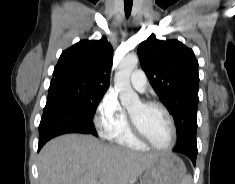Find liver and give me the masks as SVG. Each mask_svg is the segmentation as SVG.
I'll return each instance as SVG.
<instances>
[{
	"instance_id": "6515ba94",
	"label": "liver",
	"mask_w": 235,
	"mask_h": 184,
	"mask_svg": "<svg viewBox=\"0 0 235 184\" xmlns=\"http://www.w3.org/2000/svg\"><path fill=\"white\" fill-rule=\"evenodd\" d=\"M161 154H138L103 144L94 136L65 134L50 140L38 156L40 184H129Z\"/></svg>"
}]
</instances>
